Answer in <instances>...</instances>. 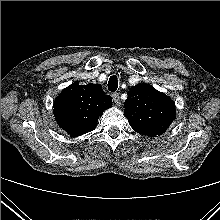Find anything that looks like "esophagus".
<instances>
[{"label": "esophagus", "instance_id": "esophagus-1", "mask_svg": "<svg viewBox=\"0 0 220 220\" xmlns=\"http://www.w3.org/2000/svg\"><path fill=\"white\" fill-rule=\"evenodd\" d=\"M113 101L115 102L116 105H120V96L118 93H114L112 95Z\"/></svg>", "mask_w": 220, "mask_h": 220}]
</instances>
